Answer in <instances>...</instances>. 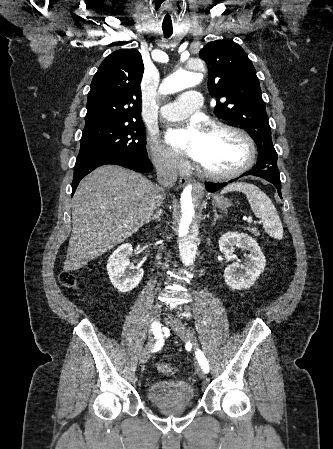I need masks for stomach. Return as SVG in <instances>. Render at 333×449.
<instances>
[{
    "mask_svg": "<svg viewBox=\"0 0 333 449\" xmlns=\"http://www.w3.org/2000/svg\"><path fill=\"white\" fill-rule=\"evenodd\" d=\"M212 204L220 209H225L231 205L230 201L227 198H224L223 196L220 195H216L213 197Z\"/></svg>",
    "mask_w": 333,
    "mask_h": 449,
    "instance_id": "obj_1",
    "label": "stomach"
}]
</instances>
